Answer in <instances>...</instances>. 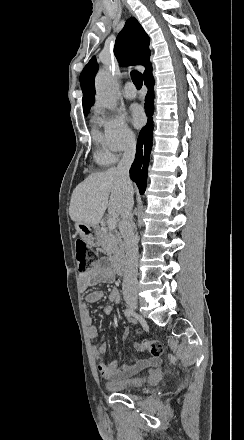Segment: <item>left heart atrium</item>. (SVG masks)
<instances>
[{
	"label": "left heart atrium",
	"instance_id": "obj_1",
	"mask_svg": "<svg viewBox=\"0 0 244 440\" xmlns=\"http://www.w3.org/2000/svg\"><path fill=\"white\" fill-rule=\"evenodd\" d=\"M132 121L137 126L140 127L145 122V114L141 106L134 105L131 109Z\"/></svg>",
	"mask_w": 244,
	"mask_h": 440
}]
</instances>
